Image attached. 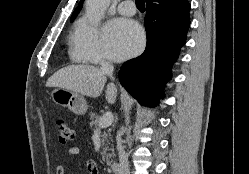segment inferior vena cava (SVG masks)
Instances as JSON below:
<instances>
[{"instance_id": "602c4592", "label": "inferior vena cava", "mask_w": 249, "mask_h": 174, "mask_svg": "<svg viewBox=\"0 0 249 174\" xmlns=\"http://www.w3.org/2000/svg\"><path fill=\"white\" fill-rule=\"evenodd\" d=\"M101 70L102 72H104L106 75H108L109 77L113 79L114 67L111 63L105 62V61L101 62ZM117 148H118L119 163H120L119 174H130L128 156L124 151L120 136L118 137Z\"/></svg>"}]
</instances>
